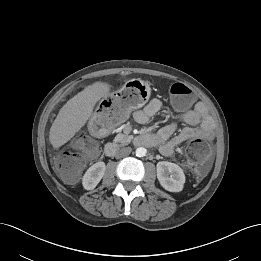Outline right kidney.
<instances>
[{"mask_svg": "<svg viewBox=\"0 0 261 261\" xmlns=\"http://www.w3.org/2000/svg\"><path fill=\"white\" fill-rule=\"evenodd\" d=\"M105 170L106 165L104 162H97L93 164L83 176V187L86 190L94 189L104 176Z\"/></svg>", "mask_w": 261, "mask_h": 261, "instance_id": "right-kidney-1", "label": "right kidney"}]
</instances>
